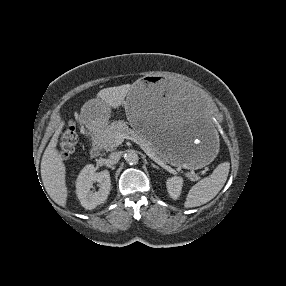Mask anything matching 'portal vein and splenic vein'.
<instances>
[{
  "label": "portal vein and splenic vein",
  "mask_w": 286,
  "mask_h": 286,
  "mask_svg": "<svg viewBox=\"0 0 286 286\" xmlns=\"http://www.w3.org/2000/svg\"><path fill=\"white\" fill-rule=\"evenodd\" d=\"M124 139H128V140H132L133 142H135L136 144H138L144 151L145 153L153 160L155 161L158 165H160L161 167H163L164 169L168 170V171H172V169L166 165L163 161H161L155 154H153L149 149H147L145 147L144 144L140 143L139 141H137L135 138L127 135V134H118L116 136V140L118 143H122L124 141Z\"/></svg>",
  "instance_id": "18ae733b"
}]
</instances>
